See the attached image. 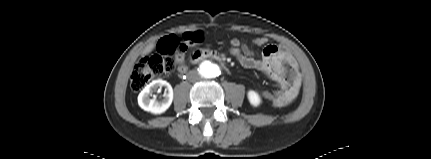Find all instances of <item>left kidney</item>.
I'll return each mask as SVG.
<instances>
[{
  "instance_id": "5707ae66",
  "label": "left kidney",
  "mask_w": 431,
  "mask_h": 159,
  "mask_svg": "<svg viewBox=\"0 0 431 159\" xmlns=\"http://www.w3.org/2000/svg\"><path fill=\"white\" fill-rule=\"evenodd\" d=\"M248 100L253 106H258L262 102L260 95L253 90H249L247 93Z\"/></svg>"
}]
</instances>
